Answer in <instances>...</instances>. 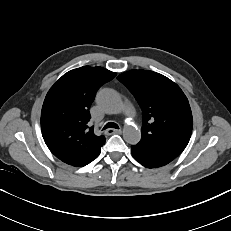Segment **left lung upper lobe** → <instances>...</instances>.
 Returning a JSON list of instances; mask_svg holds the SVG:
<instances>
[{
  "label": "left lung upper lobe",
  "mask_w": 231,
  "mask_h": 231,
  "mask_svg": "<svg viewBox=\"0 0 231 231\" xmlns=\"http://www.w3.org/2000/svg\"><path fill=\"white\" fill-rule=\"evenodd\" d=\"M135 96L142 109L139 145L160 147L180 154L193 127L187 97L169 78L150 70H131L117 77Z\"/></svg>",
  "instance_id": "1"
}]
</instances>
